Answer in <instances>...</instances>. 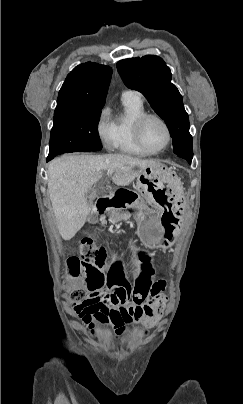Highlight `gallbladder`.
I'll return each mask as SVG.
<instances>
[{"instance_id":"bac80fb5","label":"gallbladder","mask_w":243,"mask_h":404,"mask_svg":"<svg viewBox=\"0 0 243 404\" xmlns=\"http://www.w3.org/2000/svg\"><path fill=\"white\" fill-rule=\"evenodd\" d=\"M91 191H92L91 194L88 195L89 196V199L87 201V206L88 207H93L94 206V201L93 200H95V198L97 196V194H95V192H93V190H91ZM87 217L90 218V223L94 224L95 220H96V217H97V214L92 211V212L87 214Z\"/></svg>"}]
</instances>
